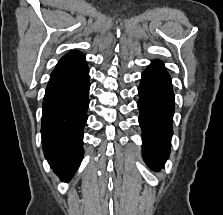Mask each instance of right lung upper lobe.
<instances>
[{"label":"right lung upper lobe","instance_id":"obj_1","mask_svg":"<svg viewBox=\"0 0 223 215\" xmlns=\"http://www.w3.org/2000/svg\"><path fill=\"white\" fill-rule=\"evenodd\" d=\"M87 68L85 56L82 53L77 51L69 52L56 65L48 84L75 77Z\"/></svg>","mask_w":223,"mask_h":215}]
</instances>
